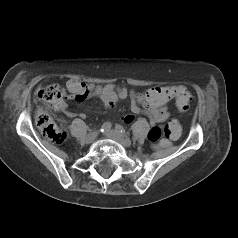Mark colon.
Listing matches in <instances>:
<instances>
[{"mask_svg": "<svg viewBox=\"0 0 238 238\" xmlns=\"http://www.w3.org/2000/svg\"><path fill=\"white\" fill-rule=\"evenodd\" d=\"M172 91L165 92L167 97L176 98L177 106L181 111L189 108L191 96L183 86H174ZM36 99L46 105L54 108L60 106L64 102V91L58 84H50L41 86L36 90ZM35 122L42 134L55 143H62L66 138V133L59 128L52 120L49 112L45 108H39L35 114ZM180 125L177 121H171L163 129L154 126L148 133V140L155 143L164 135L168 140H175L180 135ZM167 141H163L162 145H167Z\"/></svg>", "mask_w": 238, "mask_h": 238, "instance_id": "colon-1", "label": "colon"}]
</instances>
